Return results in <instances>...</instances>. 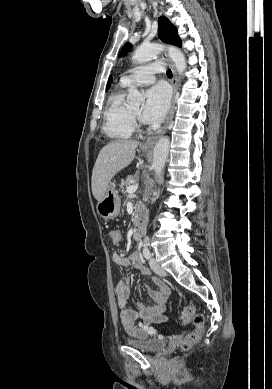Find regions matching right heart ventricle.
Returning <instances> with one entry per match:
<instances>
[{
  "mask_svg": "<svg viewBox=\"0 0 272 389\" xmlns=\"http://www.w3.org/2000/svg\"><path fill=\"white\" fill-rule=\"evenodd\" d=\"M121 84L108 98L104 111L103 130L105 134L115 140L130 138L135 127L130 115V108L125 102V89Z\"/></svg>",
  "mask_w": 272,
  "mask_h": 389,
  "instance_id": "right-heart-ventricle-1",
  "label": "right heart ventricle"
}]
</instances>
